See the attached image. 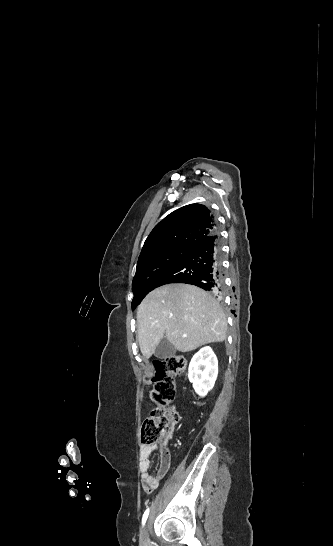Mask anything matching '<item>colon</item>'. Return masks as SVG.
Instances as JSON below:
<instances>
[{
    "label": "colon",
    "mask_w": 333,
    "mask_h": 546,
    "mask_svg": "<svg viewBox=\"0 0 333 546\" xmlns=\"http://www.w3.org/2000/svg\"><path fill=\"white\" fill-rule=\"evenodd\" d=\"M187 360L173 355L154 362V387L152 398L155 403L142 425L141 439L145 444L165 441L172 433L177 413L171 404L175 396V376L185 372Z\"/></svg>",
    "instance_id": "5ec220e1"
}]
</instances>
